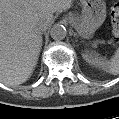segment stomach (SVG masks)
Segmentation results:
<instances>
[{"mask_svg":"<svg viewBox=\"0 0 119 119\" xmlns=\"http://www.w3.org/2000/svg\"><path fill=\"white\" fill-rule=\"evenodd\" d=\"M82 15L71 19L79 36L88 39L103 24L106 5L103 0H80Z\"/></svg>","mask_w":119,"mask_h":119,"instance_id":"stomach-1","label":"stomach"}]
</instances>
